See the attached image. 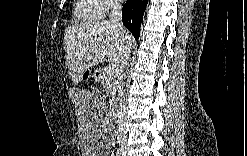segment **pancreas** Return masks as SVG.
<instances>
[{"label":"pancreas","mask_w":247,"mask_h":156,"mask_svg":"<svg viewBox=\"0 0 247 156\" xmlns=\"http://www.w3.org/2000/svg\"><path fill=\"white\" fill-rule=\"evenodd\" d=\"M97 80L102 84L107 96H111L115 92L116 76L114 74H107L106 68L100 69Z\"/></svg>","instance_id":"obj_1"}]
</instances>
